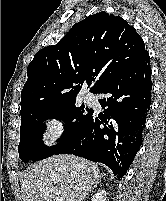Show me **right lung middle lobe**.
<instances>
[{
	"label": "right lung middle lobe",
	"mask_w": 166,
	"mask_h": 201,
	"mask_svg": "<svg viewBox=\"0 0 166 201\" xmlns=\"http://www.w3.org/2000/svg\"><path fill=\"white\" fill-rule=\"evenodd\" d=\"M92 114L93 110L85 108L84 105L76 107L75 101L22 114L18 146L19 158L23 162H28L52 156L81 129ZM49 118H57L65 123L62 139L52 147L44 145L42 141L43 122Z\"/></svg>",
	"instance_id": "dd1d6c3e"
}]
</instances>
